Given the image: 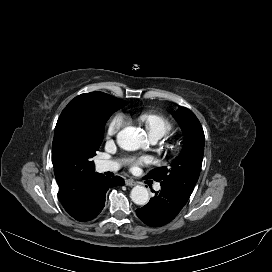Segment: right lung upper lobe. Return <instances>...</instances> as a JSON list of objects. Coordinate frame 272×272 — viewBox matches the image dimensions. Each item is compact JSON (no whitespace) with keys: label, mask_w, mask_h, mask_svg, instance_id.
Returning <instances> with one entry per match:
<instances>
[{"label":"right lung upper lobe","mask_w":272,"mask_h":272,"mask_svg":"<svg viewBox=\"0 0 272 272\" xmlns=\"http://www.w3.org/2000/svg\"><path fill=\"white\" fill-rule=\"evenodd\" d=\"M101 94L102 92H92L75 97L62 111L56 124L52 162L59 186V197L69 215L75 214L83 207L94 180L101 174L96 173L95 168L82 167L78 159L67 151L62 141V129L69 120L91 108Z\"/></svg>","instance_id":"obj_1"}]
</instances>
